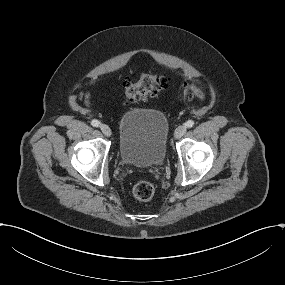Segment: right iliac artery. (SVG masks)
Returning a JSON list of instances; mask_svg holds the SVG:
<instances>
[{
  "label": "right iliac artery",
  "mask_w": 285,
  "mask_h": 285,
  "mask_svg": "<svg viewBox=\"0 0 285 285\" xmlns=\"http://www.w3.org/2000/svg\"><path fill=\"white\" fill-rule=\"evenodd\" d=\"M91 125L93 127H99L101 124H100V122L98 120H92Z\"/></svg>",
  "instance_id": "right-iliac-artery-1"
}]
</instances>
